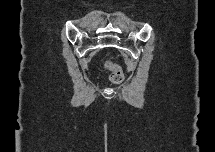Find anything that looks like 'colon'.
<instances>
[{"mask_svg":"<svg viewBox=\"0 0 215 152\" xmlns=\"http://www.w3.org/2000/svg\"><path fill=\"white\" fill-rule=\"evenodd\" d=\"M105 68L110 72L109 79L114 85H119L124 80L121 67L111 61H106Z\"/></svg>","mask_w":215,"mask_h":152,"instance_id":"obj_1","label":"colon"}]
</instances>
